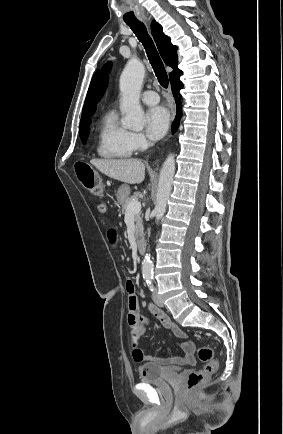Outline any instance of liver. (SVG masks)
<instances>
[{
	"label": "liver",
	"mask_w": 283,
	"mask_h": 434,
	"mask_svg": "<svg viewBox=\"0 0 283 434\" xmlns=\"http://www.w3.org/2000/svg\"><path fill=\"white\" fill-rule=\"evenodd\" d=\"M90 163L106 176L124 183L139 184L145 178V165L139 159H92Z\"/></svg>",
	"instance_id": "obj_1"
}]
</instances>
